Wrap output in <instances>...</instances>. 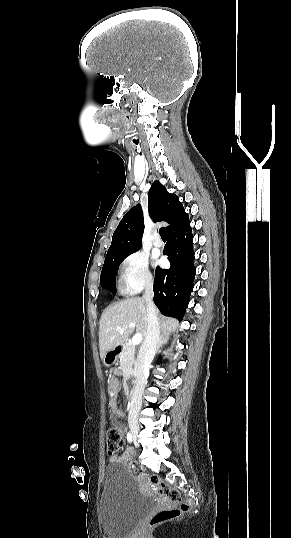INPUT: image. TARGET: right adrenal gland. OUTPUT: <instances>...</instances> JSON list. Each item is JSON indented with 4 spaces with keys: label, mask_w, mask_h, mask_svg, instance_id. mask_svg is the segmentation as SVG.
Returning a JSON list of instances; mask_svg holds the SVG:
<instances>
[{
    "label": "right adrenal gland",
    "mask_w": 291,
    "mask_h": 538,
    "mask_svg": "<svg viewBox=\"0 0 291 538\" xmlns=\"http://www.w3.org/2000/svg\"><path fill=\"white\" fill-rule=\"evenodd\" d=\"M168 339H169L168 335L162 333V334L160 335V338H159V343H158L157 350H159V348H160L163 344H166L167 341H168Z\"/></svg>",
    "instance_id": "obj_1"
}]
</instances>
